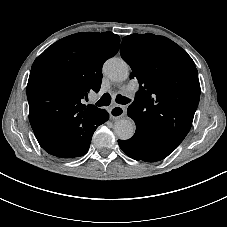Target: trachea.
<instances>
[{"label": "trachea", "mask_w": 227, "mask_h": 227, "mask_svg": "<svg viewBox=\"0 0 227 227\" xmlns=\"http://www.w3.org/2000/svg\"><path fill=\"white\" fill-rule=\"evenodd\" d=\"M131 101V99L122 96V95H117L116 96V102L121 105H126ZM111 103V96L108 93L103 94V96L95 103L96 106L101 107V106H108Z\"/></svg>", "instance_id": "trachea-1"}]
</instances>
